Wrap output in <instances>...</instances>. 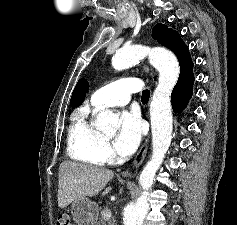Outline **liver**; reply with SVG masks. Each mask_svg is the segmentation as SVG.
Returning <instances> with one entry per match:
<instances>
[{
    "instance_id": "1",
    "label": "liver",
    "mask_w": 237,
    "mask_h": 225,
    "mask_svg": "<svg viewBox=\"0 0 237 225\" xmlns=\"http://www.w3.org/2000/svg\"><path fill=\"white\" fill-rule=\"evenodd\" d=\"M58 206L66 208L74 200L83 197L96 196L112 179L111 170L98 166L64 161L59 166ZM106 188L103 194L111 191Z\"/></svg>"
}]
</instances>
